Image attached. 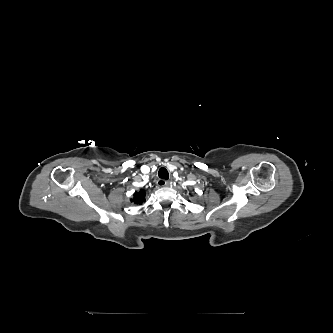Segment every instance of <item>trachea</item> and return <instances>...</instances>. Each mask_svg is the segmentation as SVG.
<instances>
[{
  "mask_svg": "<svg viewBox=\"0 0 333 333\" xmlns=\"http://www.w3.org/2000/svg\"><path fill=\"white\" fill-rule=\"evenodd\" d=\"M158 176L161 179H168L169 178V173L166 168L162 167L159 169Z\"/></svg>",
  "mask_w": 333,
  "mask_h": 333,
  "instance_id": "obj_1",
  "label": "trachea"
}]
</instances>
